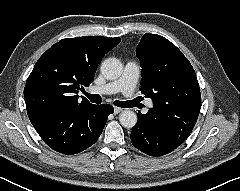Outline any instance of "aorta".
Wrapping results in <instances>:
<instances>
[{
  "mask_svg": "<svg viewBox=\"0 0 240 191\" xmlns=\"http://www.w3.org/2000/svg\"><path fill=\"white\" fill-rule=\"evenodd\" d=\"M123 72L122 63L116 58H107L101 65V73L108 80H115ZM120 124L125 128H132L137 123V115L131 110H124L119 115Z\"/></svg>",
  "mask_w": 240,
  "mask_h": 191,
  "instance_id": "1",
  "label": "aorta"
}]
</instances>
